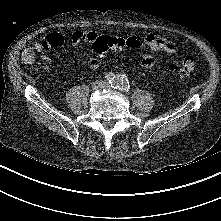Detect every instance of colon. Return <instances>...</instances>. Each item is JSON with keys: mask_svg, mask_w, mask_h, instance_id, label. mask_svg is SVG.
Masks as SVG:
<instances>
[{"mask_svg": "<svg viewBox=\"0 0 221 221\" xmlns=\"http://www.w3.org/2000/svg\"><path fill=\"white\" fill-rule=\"evenodd\" d=\"M141 46V41L135 37H129L127 39L111 37L107 35L99 36L93 43L92 49L98 54L106 53L111 49L127 47L130 49H137ZM22 61L26 64H32L35 60V54L33 48H26L22 52ZM172 72L182 78L191 77L195 73V61L192 57H185L180 63L172 66Z\"/></svg>", "mask_w": 221, "mask_h": 221, "instance_id": "obj_1", "label": "colon"}]
</instances>
